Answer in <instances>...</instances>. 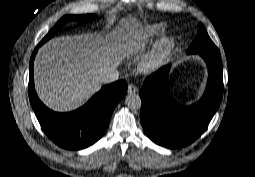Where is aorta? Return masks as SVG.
Returning a JSON list of instances; mask_svg holds the SVG:
<instances>
[{
    "label": "aorta",
    "mask_w": 255,
    "mask_h": 177,
    "mask_svg": "<svg viewBox=\"0 0 255 177\" xmlns=\"http://www.w3.org/2000/svg\"><path fill=\"white\" fill-rule=\"evenodd\" d=\"M125 104L131 110H138L141 108L142 101L139 95L129 94L126 96Z\"/></svg>",
    "instance_id": "obj_1"
}]
</instances>
